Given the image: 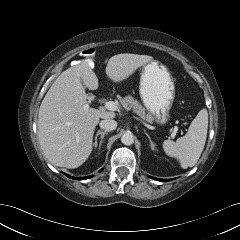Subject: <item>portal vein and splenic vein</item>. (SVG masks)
Returning a JSON list of instances; mask_svg holds the SVG:
<instances>
[{
  "mask_svg": "<svg viewBox=\"0 0 240 240\" xmlns=\"http://www.w3.org/2000/svg\"><path fill=\"white\" fill-rule=\"evenodd\" d=\"M104 107H105L106 109L110 110V111H116V110H118L117 104H116L115 102H113V101H107V102H105ZM88 108H89V105L86 104V105H85V109H88Z\"/></svg>",
  "mask_w": 240,
  "mask_h": 240,
  "instance_id": "portal-vein-and-splenic-vein-1",
  "label": "portal vein and splenic vein"
}]
</instances>
